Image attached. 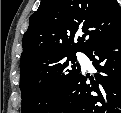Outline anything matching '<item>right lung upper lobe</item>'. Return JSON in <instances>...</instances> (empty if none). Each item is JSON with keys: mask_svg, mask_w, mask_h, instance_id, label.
Listing matches in <instances>:
<instances>
[{"mask_svg": "<svg viewBox=\"0 0 121 113\" xmlns=\"http://www.w3.org/2000/svg\"><path fill=\"white\" fill-rule=\"evenodd\" d=\"M83 32L74 42L75 34ZM121 33L116 0H42L24 34L20 68L58 52H88Z\"/></svg>", "mask_w": 121, "mask_h": 113, "instance_id": "1", "label": "right lung upper lobe"}]
</instances>
